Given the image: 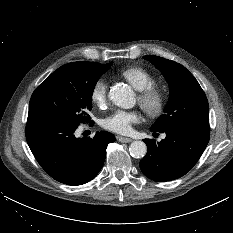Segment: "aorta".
<instances>
[{
	"label": "aorta",
	"mask_w": 233,
	"mask_h": 233,
	"mask_svg": "<svg viewBox=\"0 0 233 233\" xmlns=\"http://www.w3.org/2000/svg\"><path fill=\"white\" fill-rule=\"evenodd\" d=\"M109 98L118 107L129 109L135 106L136 98L130 86L118 84L110 89ZM129 152L135 158H143L147 153V146L143 141H133Z\"/></svg>",
	"instance_id": "1"
}]
</instances>
